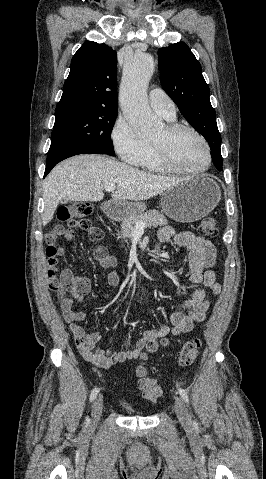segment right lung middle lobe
I'll return each mask as SVG.
<instances>
[{"instance_id":"1","label":"right lung middle lobe","mask_w":266,"mask_h":479,"mask_svg":"<svg viewBox=\"0 0 266 479\" xmlns=\"http://www.w3.org/2000/svg\"><path fill=\"white\" fill-rule=\"evenodd\" d=\"M55 116L51 145L94 149L114 156L111 131L117 111H68Z\"/></svg>"}]
</instances>
